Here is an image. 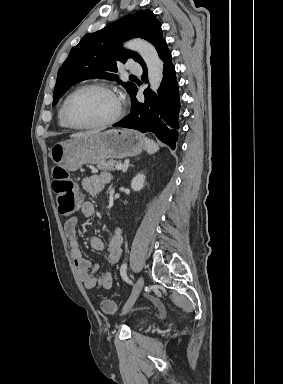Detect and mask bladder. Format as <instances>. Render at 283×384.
Returning a JSON list of instances; mask_svg holds the SVG:
<instances>
[{"label":"bladder","mask_w":283,"mask_h":384,"mask_svg":"<svg viewBox=\"0 0 283 384\" xmlns=\"http://www.w3.org/2000/svg\"><path fill=\"white\" fill-rule=\"evenodd\" d=\"M138 318H139V321H142L143 318H144V315L140 313V314L138 315Z\"/></svg>","instance_id":"31cf9c89"}]
</instances>
